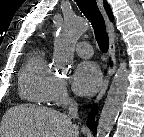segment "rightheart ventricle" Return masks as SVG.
I'll use <instances>...</instances> for the list:
<instances>
[{
	"label": "right heart ventricle",
	"mask_w": 144,
	"mask_h": 137,
	"mask_svg": "<svg viewBox=\"0 0 144 137\" xmlns=\"http://www.w3.org/2000/svg\"><path fill=\"white\" fill-rule=\"evenodd\" d=\"M56 75L49 68L43 49L33 50L19 74L18 87L22 99L36 104L52 100Z\"/></svg>",
	"instance_id": "right-heart-ventricle-1"
}]
</instances>
